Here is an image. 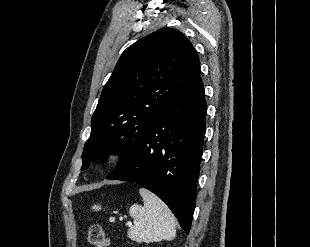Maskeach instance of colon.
I'll return each instance as SVG.
<instances>
[{"mask_svg":"<svg viewBox=\"0 0 310 247\" xmlns=\"http://www.w3.org/2000/svg\"><path fill=\"white\" fill-rule=\"evenodd\" d=\"M88 241L94 247H109V240L102 226L96 223L88 228Z\"/></svg>","mask_w":310,"mask_h":247,"instance_id":"5ec220e1","label":"colon"}]
</instances>
